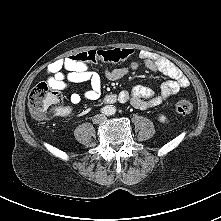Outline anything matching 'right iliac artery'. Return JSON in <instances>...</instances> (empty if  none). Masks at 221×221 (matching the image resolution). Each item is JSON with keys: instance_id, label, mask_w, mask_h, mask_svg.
Instances as JSON below:
<instances>
[{"instance_id": "obj_1", "label": "right iliac artery", "mask_w": 221, "mask_h": 221, "mask_svg": "<svg viewBox=\"0 0 221 221\" xmlns=\"http://www.w3.org/2000/svg\"><path fill=\"white\" fill-rule=\"evenodd\" d=\"M102 113H105V114H106V111H105V109H104V110H102Z\"/></svg>"}]
</instances>
